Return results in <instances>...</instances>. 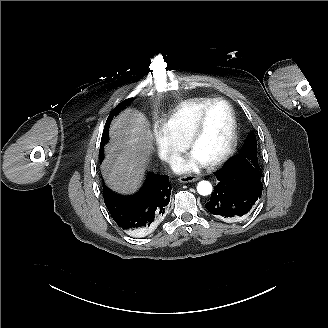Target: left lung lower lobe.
Masks as SVG:
<instances>
[{
	"instance_id": "0a47b994",
	"label": "left lung lower lobe",
	"mask_w": 328,
	"mask_h": 328,
	"mask_svg": "<svg viewBox=\"0 0 328 328\" xmlns=\"http://www.w3.org/2000/svg\"><path fill=\"white\" fill-rule=\"evenodd\" d=\"M214 175L219 182L205 204L208 212L223 221L246 216L262 195L260 177L245 167L227 164Z\"/></svg>"
}]
</instances>
